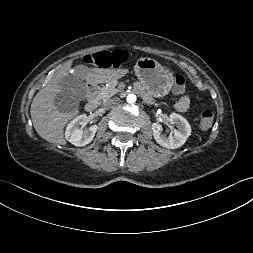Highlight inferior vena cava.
Segmentation results:
<instances>
[{"label":"inferior vena cava","instance_id":"1","mask_svg":"<svg viewBox=\"0 0 253 253\" xmlns=\"http://www.w3.org/2000/svg\"><path fill=\"white\" fill-rule=\"evenodd\" d=\"M119 102V98H112V99H107L104 101V106L106 108H111L115 106Z\"/></svg>","mask_w":253,"mask_h":253}]
</instances>
